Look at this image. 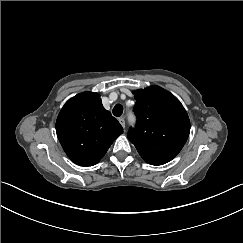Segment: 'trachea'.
<instances>
[{"instance_id":"obj_1","label":"trachea","mask_w":243,"mask_h":243,"mask_svg":"<svg viewBox=\"0 0 243 243\" xmlns=\"http://www.w3.org/2000/svg\"><path fill=\"white\" fill-rule=\"evenodd\" d=\"M113 115L116 117H119L123 113V106L121 104H116L115 107L113 108Z\"/></svg>"}]
</instances>
